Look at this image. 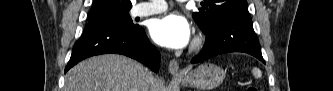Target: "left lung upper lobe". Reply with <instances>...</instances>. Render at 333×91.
<instances>
[{"label": "left lung upper lobe", "instance_id": "left-lung-upper-lobe-1", "mask_svg": "<svg viewBox=\"0 0 333 91\" xmlns=\"http://www.w3.org/2000/svg\"><path fill=\"white\" fill-rule=\"evenodd\" d=\"M201 5L192 16L204 34L225 17L249 14L247 0H204Z\"/></svg>", "mask_w": 333, "mask_h": 91}]
</instances>
